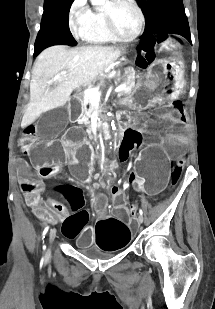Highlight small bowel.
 <instances>
[{
	"instance_id": "1",
	"label": "small bowel",
	"mask_w": 215,
	"mask_h": 309,
	"mask_svg": "<svg viewBox=\"0 0 215 309\" xmlns=\"http://www.w3.org/2000/svg\"><path fill=\"white\" fill-rule=\"evenodd\" d=\"M126 135L124 136V139H123V142L121 144V146L123 148H129V147H132L136 144V141H135V134L132 133V132H126L125 133ZM111 194L114 198V200L116 202H120L124 196V190L120 187H112L111 189ZM33 199H34V202H36V198L35 196H33ZM60 205V204H58ZM62 207H57L56 205V208L57 210L59 211L60 215L65 218V219H68L69 218V213L67 212V210L65 209V207L63 205H61Z\"/></svg>"
}]
</instances>
